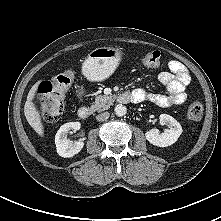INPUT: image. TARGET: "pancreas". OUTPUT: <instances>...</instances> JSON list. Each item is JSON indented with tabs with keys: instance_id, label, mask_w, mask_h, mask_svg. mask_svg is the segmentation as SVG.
Instances as JSON below:
<instances>
[{
	"instance_id": "1",
	"label": "pancreas",
	"mask_w": 221,
	"mask_h": 221,
	"mask_svg": "<svg viewBox=\"0 0 221 221\" xmlns=\"http://www.w3.org/2000/svg\"><path fill=\"white\" fill-rule=\"evenodd\" d=\"M114 100V95H98L92 108L96 111L106 110L113 104Z\"/></svg>"
}]
</instances>
